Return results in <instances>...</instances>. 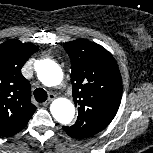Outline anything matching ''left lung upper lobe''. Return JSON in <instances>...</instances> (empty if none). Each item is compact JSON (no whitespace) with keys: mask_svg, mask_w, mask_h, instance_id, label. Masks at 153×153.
<instances>
[{"mask_svg":"<svg viewBox=\"0 0 153 153\" xmlns=\"http://www.w3.org/2000/svg\"><path fill=\"white\" fill-rule=\"evenodd\" d=\"M71 59L73 99L78 118L64 131L73 138L91 137L115 117L122 97V78L116 60L101 45L85 39L63 44Z\"/></svg>","mask_w":153,"mask_h":153,"instance_id":"left-lung-upper-lobe-1","label":"left lung upper lobe"}]
</instances>
